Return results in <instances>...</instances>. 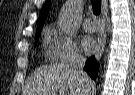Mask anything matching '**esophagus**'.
Segmentation results:
<instances>
[{"instance_id": "34e87169", "label": "esophagus", "mask_w": 135, "mask_h": 95, "mask_svg": "<svg viewBox=\"0 0 135 95\" xmlns=\"http://www.w3.org/2000/svg\"><path fill=\"white\" fill-rule=\"evenodd\" d=\"M107 7H108V1L102 0L101 31L98 40V47L95 54L96 59H99L101 57L105 47V42H106L105 22H106Z\"/></svg>"}]
</instances>
